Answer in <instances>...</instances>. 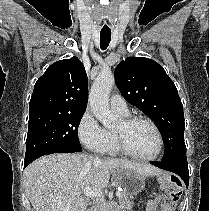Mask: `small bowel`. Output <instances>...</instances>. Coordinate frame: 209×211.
<instances>
[{
    "label": "small bowel",
    "mask_w": 209,
    "mask_h": 211,
    "mask_svg": "<svg viewBox=\"0 0 209 211\" xmlns=\"http://www.w3.org/2000/svg\"><path fill=\"white\" fill-rule=\"evenodd\" d=\"M146 211H172V208L163 196H156L147 202Z\"/></svg>",
    "instance_id": "c3829d8e"
}]
</instances>
